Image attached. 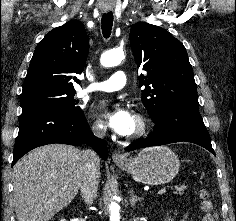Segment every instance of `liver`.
I'll return each instance as SVG.
<instances>
[{"mask_svg":"<svg viewBox=\"0 0 236 221\" xmlns=\"http://www.w3.org/2000/svg\"><path fill=\"white\" fill-rule=\"evenodd\" d=\"M82 151L51 144L32 150L13 168L18 221H49L71 203L80 188Z\"/></svg>","mask_w":236,"mask_h":221,"instance_id":"liver-1","label":"liver"}]
</instances>
